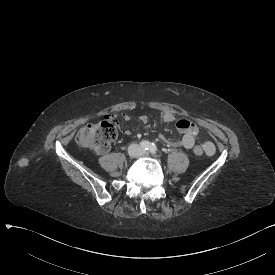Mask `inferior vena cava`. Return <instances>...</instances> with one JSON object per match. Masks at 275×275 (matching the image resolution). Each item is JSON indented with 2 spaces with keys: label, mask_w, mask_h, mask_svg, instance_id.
<instances>
[{
  "label": "inferior vena cava",
  "mask_w": 275,
  "mask_h": 275,
  "mask_svg": "<svg viewBox=\"0 0 275 275\" xmlns=\"http://www.w3.org/2000/svg\"><path fill=\"white\" fill-rule=\"evenodd\" d=\"M141 155H142V153H137V154H136V156H141Z\"/></svg>",
  "instance_id": "obj_1"
}]
</instances>
